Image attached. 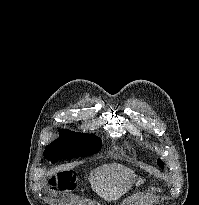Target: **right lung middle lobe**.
Returning <instances> with one entry per match:
<instances>
[{
	"label": "right lung middle lobe",
	"instance_id": "right-lung-middle-lobe-1",
	"mask_svg": "<svg viewBox=\"0 0 199 205\" xmlns=\"http://www.w3.org/2000/svg\"><path fill=\"white\" fill-rule=\"evenodd\" d=\"M99 137L86 133L61 130L60 137L45 148L44 158L51 163L61 160L85 157L100 150Z\"/></svg>",
	"mask_w": 199,
	"mask_h": 205
}]
</instances>
